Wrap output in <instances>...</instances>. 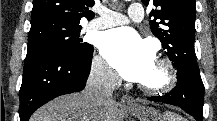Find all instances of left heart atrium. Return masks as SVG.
<instances>
[{
    "instance_id": "39dd6f15",
    "label": "left heart atrium",
    "mask_w": 217,
    "mask_h": 121,
    "mask_svg": "<svg viewBox=\"0 0 217 121\" xmlns=\"http://www.w3.org/2000/svg\"><path fill=\"white\" fill-rule=\"evenodd\" d=\"M100 50L108 63L126 80L142 82L155 64L151 46L128 28L105 32Z\"/></svg>"
}]
</instances>
